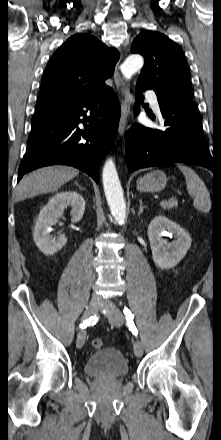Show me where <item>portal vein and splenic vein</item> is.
Instances as JSON below:
<instances>
[{"label":"portal vein and splenic vein","mask_w":221,"mask_h":440,"mask_svg":"<svg viewBox=\"0 0 221 440\" xmlns=\"http://www.w3.org/2000/svg\"><path fill=\"white\" fill-rule=\"evenodd\" d=\"M166 201L165 200H162L161 202H160V205H162L163 203H165Z\"/></svg>","instance_id":"1"}]
</instances>
